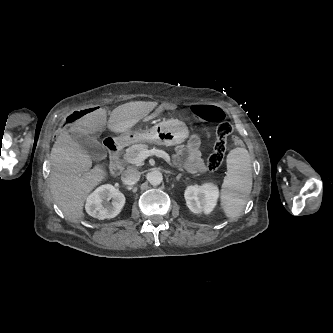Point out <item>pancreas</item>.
<instances>
[{
  "label": "pancreas",
  "instance_id": "obj_1",
  "mask_svg": "<svg viewBox=\"0 0 333 333\" xmlns=\"http://www.w3.org/2000/svg\"><path fill=\"white\" fill-rule=\"evenodd\" d=\"M149 148V146L147 144H143V143H139V144H135L132 145L131 147H129L126 150V153L124 154V159L128 162H133V160L135 158H137L138 154L142 151V150H147ZM136 165H139L141 163H133Z\"/></svg>",
  "mask_w": 333,
  "mask_h": 333
}]
</instances>
